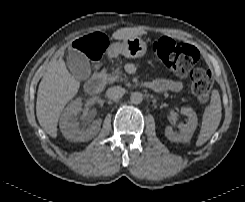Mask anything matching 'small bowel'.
Returning <instances> with one entry per match:
<instances>
[{"instance_id":"1","label":"small bowel","mask_w":245,"mask_h":202,"mask_svg":"<svg viewBox=\"0 0 245 202\" xmlns=\"http://www.w3.org/2000/svg\"><path fill=\"white\" fill-rule=\"evenodd\" d=\"M149 86L157 92L179 91L183 88V83L179 80L158 78L152 81Z\"/></svg>"}]
</instances>
